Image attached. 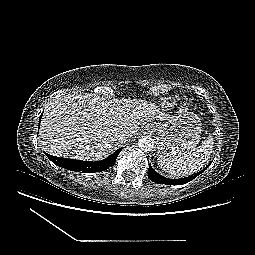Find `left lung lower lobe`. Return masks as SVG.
I'll use <instances>...</instances> for the list:
<instances>
[{"label":"left lung lower lobe","instance_id":"1","mask_svg":"<svg viewBox=\"0 0 255 255\" xmlns=\"http://www.w3.org/2000/svg\"><path fill=\"white\" fill-rule=\"evenodd\" d=\"M211 164V163H210ZM210 164H208L203 170L199 171L198 173H195L191 176L185 177V178H180V179H169L166 178L160 174H158L152 167L151 165H149V169H148V177L150 178L151 181L158 183V184H166V185H183L186 184L188 182H190L191 180H193L194 178H196L198 175H200L201 173H203L209 166Z\"/></svg>","mask_w":255,"mask_h":255}]
</instances>
